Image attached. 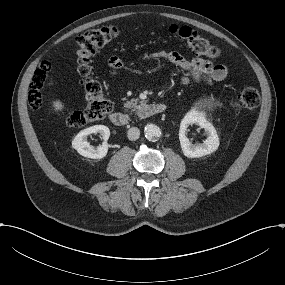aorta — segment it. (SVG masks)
I'll return each mask as SVG.
<instances>
[{
	"mask_svg": "<svg viewBox=\"0 0 285 285\" xmlns=\"http://www.w3.org/2000/svg\"><path fill=\"white\" fill-rule=\"evenodd\" d=\"M144 132H145V137L148 140H156L161 135L160 128L157 125H155V124H148V125H146V127L144 129Z\"/></svg>",
	"mask_w": 285,
	"mask_h": 285,
	"instance_id": "obj_1",
	"label": "aorta"
}]
</instances>
